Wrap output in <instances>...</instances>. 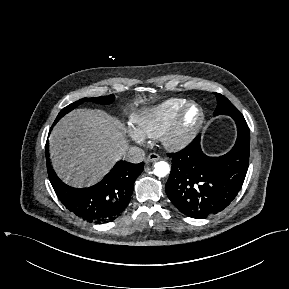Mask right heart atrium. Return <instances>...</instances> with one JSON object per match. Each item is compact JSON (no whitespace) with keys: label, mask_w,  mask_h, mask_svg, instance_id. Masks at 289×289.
I'll return each instance as SVG.
<instances>
[{"label":"right heart atrium","mask_w":289,"mask_h":289,"mask_svg":"<svg viewBox=\"0 0 289 289\" xmlns=\"http://www.w3.org/2000/svg\"><path fill=\"white\" fill-rule=\"evenodd\" d=\"M128 134L137 143L143 144L145 142L144 135L133 127L128 128Z\"/></svg>","instance_id":"1"}]
</instances>
